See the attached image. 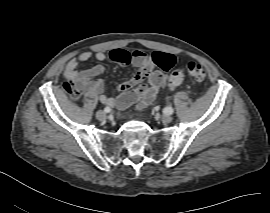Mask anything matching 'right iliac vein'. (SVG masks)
<instances>
[{"label": "right iliac vein", "mask_w": 270, "mask_h": 213, "mask_svg": "<svg viewBox=\"0 0 270 213\" xmlns=\"http://www.w3.org/2000/svg\"><path fill=\"white\" fill-rule=\"evenodd\" d=\"M96 117L98 120L102 121L106 118V113L103 110H99L96 112Z\"/></svg>", "instance_id": "63e3f726"}]
</instances>
